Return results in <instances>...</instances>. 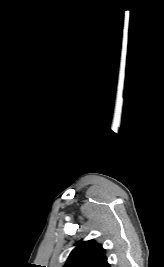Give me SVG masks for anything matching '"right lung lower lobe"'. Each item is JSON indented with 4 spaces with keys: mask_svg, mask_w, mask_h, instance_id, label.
Segmentation results:
<instances>
[{
    "mask_svg": "<svg viewBox=\"0 0 164 267\" xmlns=\"http://www.w3.org/2000/svg\"><path fill=\"white\" fill-rule=\"evenodd\" d=\"M103 267H110L108 263H105Z\"/></svg>",
    "mask_w": 164,
    "mask_h": 267,
    "instance_id": "1",
    "label": "right lung lower lobe"
}]
</instances>
